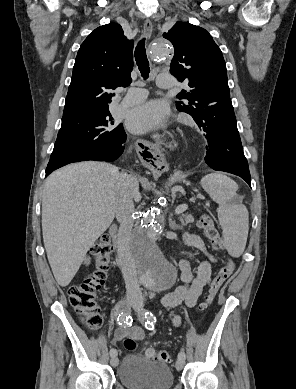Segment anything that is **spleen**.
Masks as SVG:
<instances>
[{
    "label": "spleen",
    "instance_id": "obj_1",
    "mask_svg": "<svg viewBox=\"0 0 296 389\" xmlns=\"http://www.w3.org/2000/svg\"><path fill=\"white\" fill-rule=\"evenodd\" d=\"M201 186L219 205L217 213L224 247L232 257H240L246 247L249 214L237 197V183L223 174L211 173L201 179Z\"/></svg>",
    "mask_w": 296,
    "mask_h": 389
}]
</instances>
